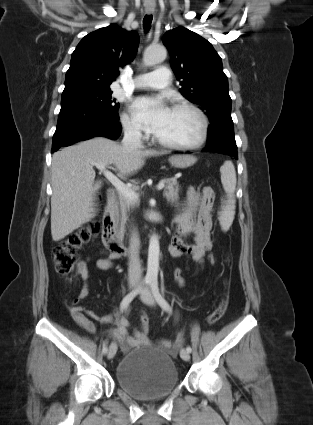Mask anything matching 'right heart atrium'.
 <instances>
[{
    "label": "right heart atrium",
    "mask_w": 313,
    "mask_h": 425,
    "mask_svg": "<svg viewBox=\"0 0 313 425\" xmlns=\"http://www.w3.org/2000/svg\"><path fill=\"white\" fill-rule=\"evenodd\" d=\"M124 132L132 138L141 139L143 137L141 129L136 121L128 114L124 113L121 118Z\"/></svg>",
    "instance_id": "obj_1"
}]
</instances>
